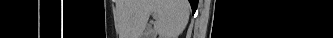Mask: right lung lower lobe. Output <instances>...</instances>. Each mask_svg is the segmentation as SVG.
Here are the masks:
<instances>
[{"mask_svg":"<svg viewBox=\"0 0 333 38\" xmlns=\"http://www.w3.org/2000/svg\"><path fill=\"white\" fill-rule=\"evenodd\" d=\"M189 2H190V4H191L192 10H193V12H194V10H195V5L197 4V1H195V0H189Z\"/></svg>","mask_w":333,"mask_h":38,"instance_id":"obj_1","label":"right lung lower lobe"}]
</instances>
